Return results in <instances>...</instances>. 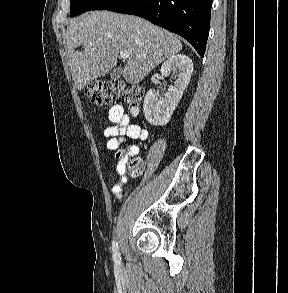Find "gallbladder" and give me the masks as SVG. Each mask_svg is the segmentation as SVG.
<instances>
[{
    "mask_svg": "<svg viewBox=\"0 0 288 293\" xmlns=\"http://www.w3.org/2000/svg\"><path fill=\"white\" fill-rule=\"evenodd\" d=\"M121 74H122V68L121 67H116L110 73V77H111L112 80H117V79L120 78Z\"/></svg>",
    "mask_w": 288,
    "mask_h": 293,
    "instance_id": "obj_1",
    "label": "gallbladder"
}]
</instances>
